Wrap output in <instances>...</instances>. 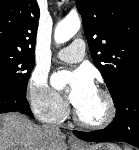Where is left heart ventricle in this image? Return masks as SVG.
<instances>
[{
    "instance_id": "1",
    "label": "left heart ventricle",
    "mask_w": 139,
    "mask_h": 150,
    "mask_svg": "<svg viewBox=\"0 0 139 150\" xmlns=\"http://www.w3.org/2000/svg\"><path fill=\"white\" fill-rule=\"evenodd\" d=\"M80 117L90 123H97L107 114V106L103 96L95 91L76 106Z\"/></svg>"
}]
</instances>
